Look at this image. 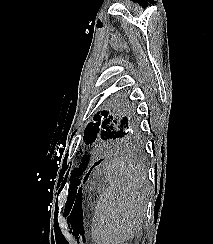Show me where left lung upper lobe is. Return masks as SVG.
Instances as JSON below:
<instances>
[{
  "label": "left lung upper lobe",
  "mask_w": 213,
  "mask_h": 244,
  "mask_svg": "<svg viewBox=\"0 0 213 244\" xmlns=\"http://www.w3.org/2000/svg\"><path fill=\"white\" fill-rule=\"evenodd\" d=\"M109 104L110 108L98 111L93 117L94 121L85 128L83 140L86 144L93 143L97 137L103 140L117 139L136 132L138 121L133 106L127 104L121 96L112 98ZM80 152L82 153V150ZM89 159L90 156L84 155L71 172L70 190H76L80 185Z\"/></svg>",
  "instance_id": "obj_1"
}]
</instances>
